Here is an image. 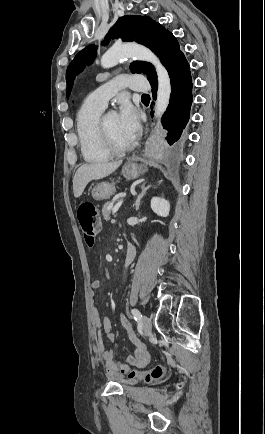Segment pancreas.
<instances>
[{"mask_svg":"<svg viewBox=\"0 0 265 434\" xmlns=\"http://www.w3.org/2000/svg\"><path fill=\"white\" fill-rule=\"evenodd\" d=\"M110 202H106L102 208L103 220H110V214H112V208H109Z\"/></svg>","mask_w":265,"mask_h":434,"instance_id":"cf45deb5","label":"pancreas"}]
</instances>
